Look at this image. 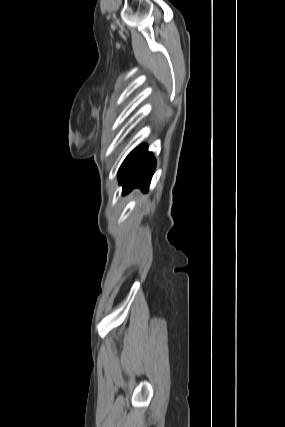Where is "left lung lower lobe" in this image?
<instances>
[{"mask_svg": "<svg viewBox=\"0 0 285 427\" xmlns=\"http://www.w3.org/2000/svg\"><path fill=\"white\" fill-rule=\"evenodd\" d=\"M155 170V160L145 145L134 149L121 165L118 177L123 185V194L135 187L146 191Z\"/></svg>", "mask_w": 285, "mask_h": 427, "instance_id": "obj_1", "label": "left lung lower lobe"}]
</instances>
